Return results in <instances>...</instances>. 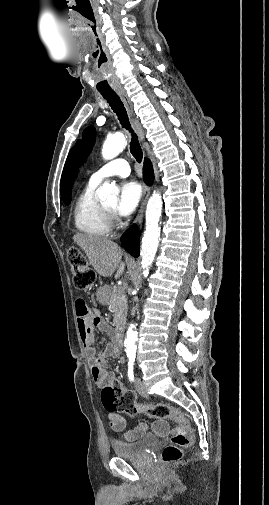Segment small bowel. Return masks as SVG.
<instances>
[{"instance_id": "small-bowel-1", "label": "small bowel", "mask_w": 269, "mask_h": 505, "mask_svg": "<svg viewBox=\"0 0 269 505\" xmlns=\"http://www.w3.org/2000/svg\"><path fill=\"white\" fill-rule=\"evenodd\" d=\"M85 302L81 299L76 302V313L81 340L85 349V354L90 362V371L92 378L97 387L103 388L107 386L113 379V374L107 369V358L117 356L119 354V346L116 342L107 343L103 349L96 353L93 348L94 329L106 333L114 334L113 327L105 321L100 313L90 307H82ZM110 426L116 432H123L126 427V420L122 415L116 412L109 413ZM153 431L164 436L169 432V426L165 419H159L153 423ZM149 430V425L146 422H140L133 430L127 431L124 434L126 440H134L145 435Z\"/></svg>"}]
</instances>
